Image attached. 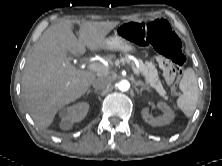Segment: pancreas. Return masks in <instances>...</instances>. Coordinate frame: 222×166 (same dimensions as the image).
I'll return each mask as SVG.
<instances>
[{"label": "pancreas", "mask_w": 222, "mask_h": 166, "mask_svg": "<svg viewBox=\"0 0 222 166\" xmlns=\"http://www.w3.org/2000/svg\"><path fill=\"white\" fill-rule=\"evenodd\" d=\"M120 63H127L134 66V63L130 61L127 57L121 58ZM138 71L142 73L148 85H150L152 88H155V90L161 97H163L164 99H168L166 91L159 79L158 71L152 62L143 63V61L139 60Z\"/></svg>", "instance_id": "1"}]
</instances>
